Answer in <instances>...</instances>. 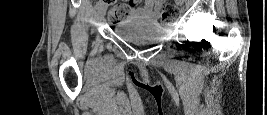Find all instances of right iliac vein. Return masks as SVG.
I'll return each mask as SVG.
<instances>
[{
    "label": "right iliac vein",
    "mask_w": 267,
    "mask_h": 115,
    "mask_svg": "<svg viewBox=\"0 0 267 115\" xmlns=\"http://www.w3.org/2000/svg\"><path fill=\"white\" fill-rule=\"evenodd\" d=\"M105 13H106V8L102 6L98 10V13H97V18H98L99 21H102L104 19Z\"/></svg>",
    "instance_id": "right-iliac-vein-1"
}]
</instances>
